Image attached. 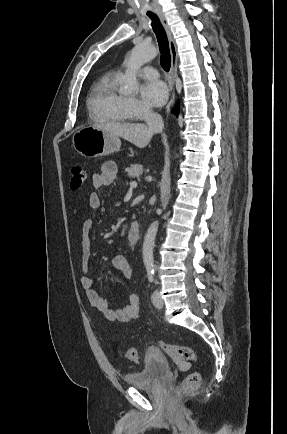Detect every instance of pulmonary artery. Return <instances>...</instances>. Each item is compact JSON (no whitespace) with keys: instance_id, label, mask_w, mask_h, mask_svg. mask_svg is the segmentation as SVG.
Segmentation results:
<instances>
[{"instance_id":"obj_1","label":"pulmonary artery","mask_w":287,"mask_h":434,"mask_svg":"<svg viewBox=\"0 0 287 434\" xmlns=\"http://www.w3.org/2000/svg\"><path fill=\"white\" fill-rule=\"evenodd\" d=\"M139 75L146 79H157L158 72L152 67H144L139 71Z\"/></svg>"}]
</instances>
